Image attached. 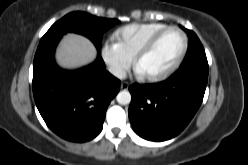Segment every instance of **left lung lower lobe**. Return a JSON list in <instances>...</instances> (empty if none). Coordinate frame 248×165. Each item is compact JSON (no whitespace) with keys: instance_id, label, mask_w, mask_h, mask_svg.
Masks as SVG:
<instances>
[{"instance_id":"1","label":"left lung lower lobe","mask_w":248,"mask_h":165,"mask_svg":"<svg viewBox=\"0 0 248 165\" xmlns=\"http://www.w3.org/2000/svg\"><path fill=\"white\" fill-rule=\"evenodd\" d=\"M208 79L206 56L186 63L165 81L133 84L129 119L134 132L150 141L178 135L200 107Z\"/></svg>"}]
</instances>
